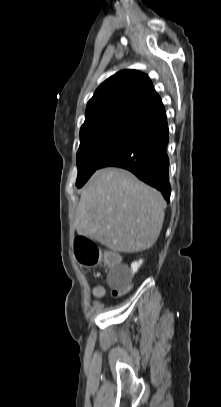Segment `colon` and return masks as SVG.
<instances>
[{
    "label": "colon",
    "mask_w": 221,
    "mask_h": 407,
    "mask_svg": "<svg viewBox=\"0 0 221 407\" xmlns=\"http://www.w3.org/2000/svg\"><path fill=\"white\" fill-rule=\"evenodd\" d=\"M75 254L78 261L84 266H95L100 262V251L97 245L87 238L79 237L75 240ZM104 263L109 268L113 266L114 261H121V252H104L103 254ZM96 294L101 295L102 290L100 288L96 289ZM126 291H114L115 295H121Z\"/></svg>",
    "instance_id": "colon-1"
}]
</instances>
